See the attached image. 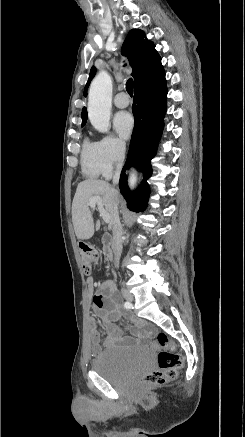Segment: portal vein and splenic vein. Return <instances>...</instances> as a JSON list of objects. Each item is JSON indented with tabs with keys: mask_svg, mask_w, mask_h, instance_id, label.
I'll use <instances>...</instances> for the list:
<instances>
[{
	"mask_svg": "<svg viewBox=\"0 0 245 437\" xmlns=\"http://www.w3.org/2000/svg\"><path fill=\"white\" fill-rule=\"evenodd\" d=\"M89 205H90L91 208H95L97 206L98 210L100 212V216L103 218V220L106 223H109L110 216H109V214L106 212V210L103 207V203H102V198L101 197L95 196V197L90 198Z\"/></svg>",
	"mask_w": 245,
	"mask_h": 437,
	"instance_id": "18ae733b",
	"label": "portal vein and splenic vein"
}]
</instances>
